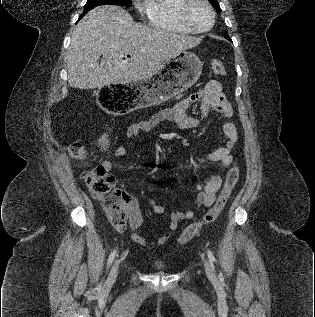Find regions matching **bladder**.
<instances>
[{"label":"bladder","mask_w":315,"mask_h":317,"mask_svg":"<svg viewBox=\"0 0 315 317\" xmlns=\"http://www.w3.org/2000/svg\"><path fill=\"white\" fill-rule=\"evenodd\" d=\"M156 267H157V268H163L164 265H163L161 262H157V263H156Z\"/></svg>","instance_id":"31cf9c89"}]
</instances>
